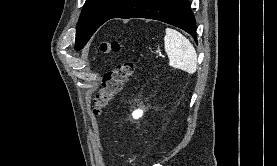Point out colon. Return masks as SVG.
<instances>
[{
  "label": "colon",
  "mask_w": 277,
  "mask_h": 166,
  "mask_svg": "<svg viewBox=\"0 0 277 166\" xmlns=\"http://www.w3.org/2000/svg\"><path fill=\"white\" fill-rule=\"evenodd\" d=\"M121 50V44L116 41H104L100 44L98 51L103 54L115 53ZM134 63L130 61L118 64L114 69L106 72L102 78L101 89L95 96L93 113L98 116L109 106L117 94L122 90L124 84L134 73Z\"/></svg>",
  "instance_id": "1"
}]
</instances>
